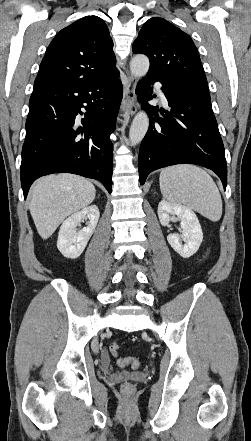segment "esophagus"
Here are the masks:
<instances>
[{
    "instance_id": "1",
    "label": "esophagus",
    "mask_w": 251,
    "mask_h": 441,
    "mask_svg": "<svg viewBox=\"0 0 251 441\" xmlns=\"http://www.w3.org/2000/svg\"><path fill=\"white\" fill-rule=\"evenodd\" d=\"M137 79L131 74L127 76V83L124 87L123 100L121 105V111L127 112L133 116L137 111L136 106V89Z\"/></svg>"
}]
</instances>
